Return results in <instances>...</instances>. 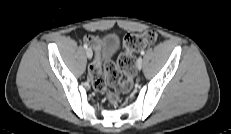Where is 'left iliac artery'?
Here are the masks:
<instances>
[{"instance_id":"left-iliac-artery-1","label":"left iliac artery","mask_w":231,"mask_h":134,"mask_svg":"<svg viewBox=\"0 0 231 134\" xmlns=\"http://www.w3.org/2000/svg\"><path fill=\"white\" fill-rule=\"evenodd\" d=\"M140 54H141V55H144V54H145V51H144V50H142V51L140 52Z\"/></svg>"}]
</instances>
